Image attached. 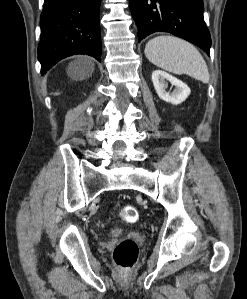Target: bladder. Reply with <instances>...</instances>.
I'll list each match as a JSON object with an SVG mask.
<instances>
[{"instance_id": "bladder-1", "label": "bladder", "mask_w": 247, "mask_h": 299, "mask_svg": "<svg viewBox=\"0 0 247 299\" xmlns=\"http://www.w3.org/2000/svg\"><path fill=\"white\" fill-rule=\"evenodd\" d=\"M118 232H119L118 230H114V231H113L114 234H115V233H118Z\"/></svg>"}]
</instances>
